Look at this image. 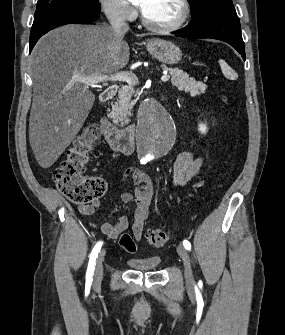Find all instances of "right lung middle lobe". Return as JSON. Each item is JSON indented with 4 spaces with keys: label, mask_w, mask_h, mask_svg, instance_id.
<instances>
[{
    "label": "right lung middle lobe",
    "mask_w": 285,
    "mask_h": 335,
    "mask_svg": "<svg viewBox=\"0 0 285 335\" xmlns=\"http://www.w3.org/2000/svg\"><path fill=\"white\" fill-rule=\"evenodd\" d=\"M58 9H79L99 13L97 0H38L34 18Z\"/></svg>",
    "instance_id": "1"
}]
</instances>
